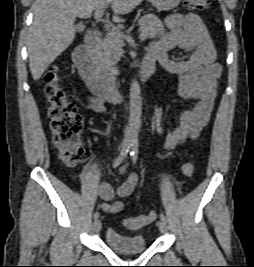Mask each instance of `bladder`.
<instances>
[{
    "instance_id": "obj_1",
    "label": "bladder",
    "mask_w": 254,
    "mask_h": 267,
    "mask_svg": "<svg viewBox=\"0 0 254 267\" xmlns=\"http://www.w3.org/2000/svg\"><path fill=\"white\" fill-rule=\"evenodd\" d=\"M105 241L111 248L125 253L142 252L147 247L141 233H125L113 227L106 230Z\"/></svg>"
}]
</instances>
